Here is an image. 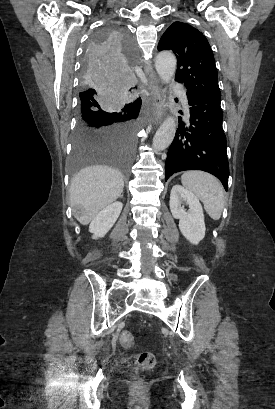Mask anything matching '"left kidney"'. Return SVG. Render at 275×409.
<instances>
[{
  "label": "left kidney",
  "mask_w": 275,
  "mask_h": 409,
  "mask_svg": "<svg viewBox=\"0 0 275 409\" xmlns=\"http://www.w3.org/2000/svg\"><path fill=\"white\" fill-rule=\"evenodd\" d=\"M183 202L189 205V211L181 207ZM170 209L174 219H180L179 229L182 235L193 245H198L204 239L206 231L199 198L181 184H174L170 194Z\"/></svg>",
  "instance_id": "5707ae66"
}]
</instances>
